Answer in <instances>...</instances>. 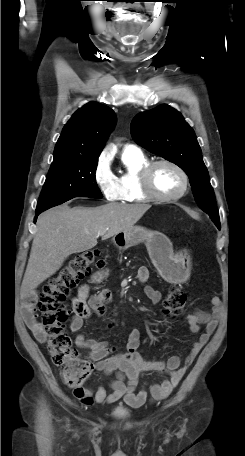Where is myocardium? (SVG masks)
Listing matches in <instances>:
<instances>
[{
  "instance_id": "myocardium-1",
  "label": "myocardium",
  "mask_w": 245,
  "mask_h": 456,
  "mask_svg": "<svg viewBox=\"0 0 245 456\" xmlns=\"http://www.w3.org/2000/svg\"><path fill=\"white\" fill-rule=\"evenodd\" d=\"M159 165H168L175 169L181 176L182 178V189L174 195L170 196H165L159 194L154 186H153V172L155 168ZM139 182H140V187L142 189V192L145 194L146 197L149 199L159 201V202H171V201H177L181 199L188 190L189 187V178L184 169L179 166L177 163L168 160V159H159V160H154V161H149L146 165L142 167L139 173Z\"/></svg>"
}]
</instances>
